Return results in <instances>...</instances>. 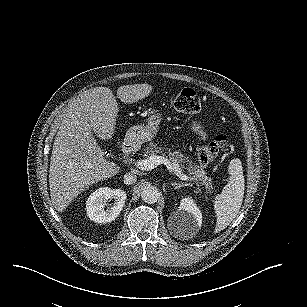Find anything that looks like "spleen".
Listing matches in <instances>:
<instances>
[{
    "label": "spleen",
    "instance_id": "obj_1",
    "mask_svg": "<svg viewBox=\"0 0 307 307\" xmlns=\"http://www.w3.org/2000/svg\"><path fill=\"white\" fill-rule=\"evenodd\" d=\"M244 188L242 162L235 158L229 163V181L214 201L217 216L215 232L225 229L236 217L243 202Z\"/></svg>",
    "mask_w": 307,
    "mask_h": 307
}]
</instances>
